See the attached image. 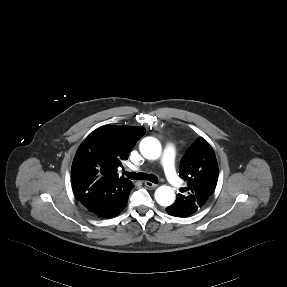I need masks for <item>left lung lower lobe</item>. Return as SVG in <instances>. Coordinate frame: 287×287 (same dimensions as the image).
<instances>
[{
  "mask_svg": "<svg viewBox=\"0 0 287 287\" xmlns=\"http://www.w3.org/2000/svg\"><path fill=\"white\" fill-rule=\"evenodd\" d=\"M166 211L170 215L177 216V217H186V216H189V215L194 213L191 210L184 209V208L180 207L178 205V203H175V202L172 205H170L169 207H167Z\"/></svg>",
  "mask_w": 287,
  "mask_h": 287,
  "instance_id": "0a47b994",
  "label": "left lung lower lobe"
}]
</instances>
